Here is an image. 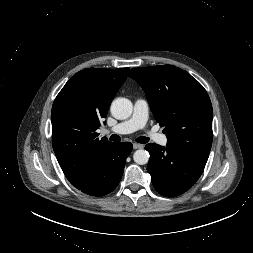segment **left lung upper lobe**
I'll list each match as a JSON object with an SVG mask.
<instances>
[{
	"mask_svg": "<svg viewBox=\"0 0 253 253\" xmlns=\"http://www.w3.org/2000/svg\"><path fill=\"white\" fill-rule=\"evenodd\" d=\"M129 76L145 91L167 133V148L206 164L213 139V110L204 87L173 65L134 68Z\"/></svg>",
	"mask_w": 253,
	"mask_h": 253,
	"instance_id": "1",
	"label": "left lung upper lobe"
}]
</instances>
